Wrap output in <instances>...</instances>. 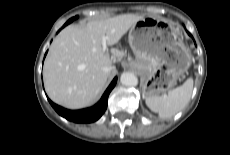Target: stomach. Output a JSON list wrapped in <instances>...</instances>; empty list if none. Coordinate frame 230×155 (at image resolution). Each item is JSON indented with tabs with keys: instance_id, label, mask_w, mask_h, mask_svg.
Returning <instances> with one entry per match:
<instances>
[{
	"instance_id": "stomach-1",
	"label": "stomach",
	"mask_w": 230,
	"mask_h": 155,
	"mask_svg": "<svg viewBox=\"0 0 230 155\" xmlns=\"http://www.w3.org/2000/svg\"><path fill=\"white\" fill-rule=\"evenodd\" d=\"M129 44L135 54V66L144 77L145 98L159 96L173 87L190 66V52L169 21L145 17L129 32Z\"/></svg>"
}]
</instances>
